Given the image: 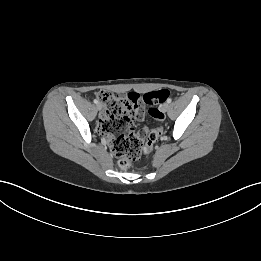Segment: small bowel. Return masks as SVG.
Wrapping results in <instances>:
<instances>
[{
    "label": "small bowel",
    "instance_id": "c3829d8e",
    "mask_svg": "<svg viewBox=\"0 0 261 261\" xmlns=\"http://www.w3.org/2000/svg\"><path fill=\"white\" fill-rule=\"evenodd\" d=\"M102 116H103V114H102ZM133 117L136 119H139V120H142L144 118V112H143V108H142V105L140 104V102L137 104V106L133 110ZM148 130H149L148 127L145 126L139 131L141 138L144 139L148 136V134H149Z\"/></svg>",
    "mask_w": 261,
    "mask_h": 261
}]
</instances>
